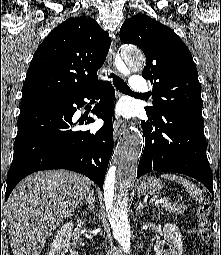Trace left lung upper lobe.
<instances>
[{
	"label": "left lung upper lobe",
	"mask_w": 221,
	"mask_h": 255,
	"mask_svg": "<svg viewBox=\"0 0 221 255\" xmlns=\"http://www.w3.org/2000/svg\"><path fill=\"white\" fill-rule=\"evenodd\" d=\"M123 43L138 46L146 56L142 76L152 85L153 106L145 107L156 117L168 109L202 119L201 85L192 55L169 27L145 14L127 19L120 29Z\"/></svg>",
	"instance_id": "obj_1"
}]
</instances>
